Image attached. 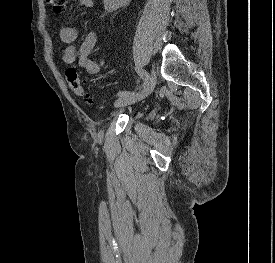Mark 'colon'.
<instances>
[{
	"label": "colon",
	"mask_w": 275,
	"mask_h": 263,
	"mask_svg": "<svg viewBox=\"0 0 275 263\" xmlns=\"http://www.w3.org/2000/svg\"><path fill=\"white\" fill-rule=\"evenodd\" d=\"M50 8L55 13H62L65 11L66 4L68 0H46ZM68 84L72 90V92L86 102H92V97L89 92L85 88L84 80L81 77L79 71L70 66L66 69L65 72Z\"/></svg>",
	"instance_id": "1"
}]
</instances>
